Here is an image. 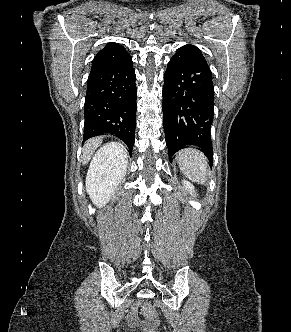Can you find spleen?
<instances>
[{
    "instance_id": "1",
    "label": "spleen",
    "mask_w": 291,
    "mask_h": 332,
    "mask_svg": "<svg viewBox=\"0 0 291 332\" xmlns=\"http://www.w3.org/2000/svg\"><path fill=\"white\" fill-rule=\"evenodd\" d=\"M176 160L183 174L190 180L204 184L208 175V160L198 149L185 148L178 152Z\"/></svg>"
}]
</instances>
